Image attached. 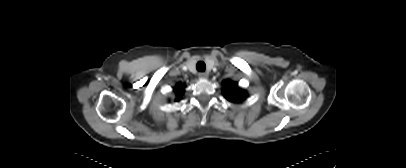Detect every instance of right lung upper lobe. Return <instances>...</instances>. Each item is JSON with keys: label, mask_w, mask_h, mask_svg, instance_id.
<instances>
[{"label": "right lung upper lobe", "mask_w": 406, "mask_h": 168, "mask_svg": "<svg viewBox=\"0 0 406 168\" xmlns=\"http://www.w3.org/2000/svg\"><path fill=\"white\" fill-rule=\"evenodd\" d=\"M183 91H184V88L181 87L180 84H178V85L176 86V88H175L176 96H177L178 99H179L180 96L183 94Z\"/></svg>", "instance_id": "right-lung-upper-lobe-1"}]
</instances>
